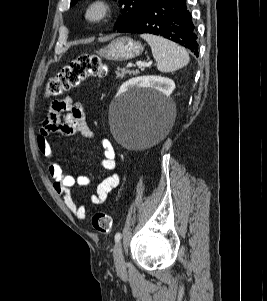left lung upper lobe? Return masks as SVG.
<instances>
[{
	"label": "left lung upper lobe",
	"instance_id": "left-lung-upper-lobe-1",
	"mask_svg": "<svg viewBox=\"0 0 267 301\" xmlns=\"http://www.w3.org/2000/svg\"><path fill=\"white\" fill-rule=\"evenodd\" d=\"M77 1L78 0H71V5H74ZM149 1L150 0H119V4L122 6V15L118 17L114 26L115 30L131 22Z\"/></svg>",
	"mask_w": 267,
	"mask_h": 301
}]
</instances>
